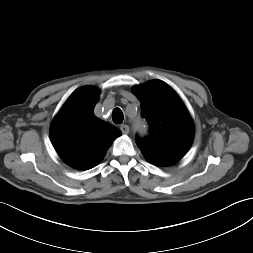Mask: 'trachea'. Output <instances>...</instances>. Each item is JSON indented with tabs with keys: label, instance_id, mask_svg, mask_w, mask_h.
I'll list each match as a JSON object with an SVG mask.
<instances>
[{
	"label": "trachea",
	"instance_id": "obj_1",
	"mask_svg": "<svg viewBox=\"0 0 253 253\" xmlns=\"http://www.w3.org/2000/svg\"><path fill=\"white\" fill-rule=\"evenodd\" d=\"M124 116L120 108H115L112 112V120L116 124H121L123 122Z\"/></svg>",
	"mask_w": 253,
	"mask_h": 253
}]
</instances>
